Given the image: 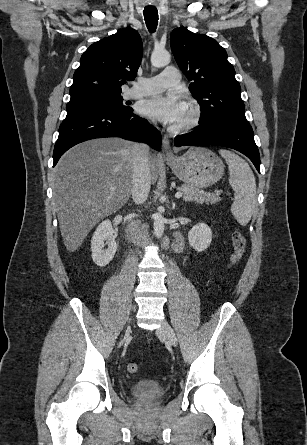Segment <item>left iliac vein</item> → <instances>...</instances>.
Returning a JSON list of instances; mask_svg holds the SVG:
<instances>
[{
	"label": "left iliac vein",
	"instance_id": "4c4485c4",
	"mask_svg": "<svg viewBox=\"0 0 307 445\" xmlns=\"http://www.w3.org/2000/svg\"><path fill=\"white\" fill-rule=\"evenodd\" d=\"M157 335L167 339L174 347L177 346V337L173 328L167 321H162L161 326L156 330Z\"/></svg>",
	"mask_w": 307,
	"mask_h": 445
}]
</instances>
